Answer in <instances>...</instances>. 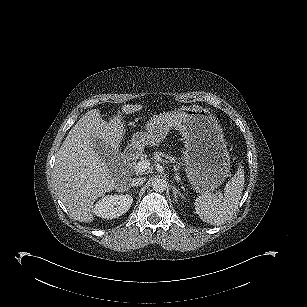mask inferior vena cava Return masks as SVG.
Returning <instances> with one entry per match:
<instances>
[{
	"label": "inferior vena cava",
	"mask_w": 307,
	"mask_h": 307,
	"mask_svg": "<svg viewBox=\"0 0 307 307\" xmlns=\"http://www.w3.org/2000/svg\"><path fill=\"white\" fill-rule=\"evenodd\" d=\"M145 182V178L143 177H138V178H133L130 180V185L135 187V186H141Z\"/></svg>",
	"instance_id": "1"
}]
</instances>
